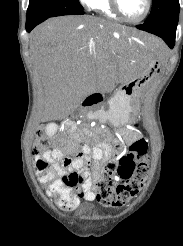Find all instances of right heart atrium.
I'll use <instances>...</instances> for the list:
<instances>
[{"label":"right heart atrium","instance_id":"1","mask_svg":"<svg viewBox=\"0 0 183 246\" xmlns=\"http://www.w3.org/2000/svg\"><path fill=\"white\" fill-rule=\"evenodd\" d=\"M80 1L83 2L84 4H86V5L89 6V2H90L91 0H80Z\"/></svg>","mask_w":183,"mask_h":246}]
</instances>
